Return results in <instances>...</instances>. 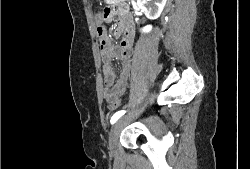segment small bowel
I'll list each match as a JSON object with an SVG mask.
<instances>
[{"label":"small bowel","instance_id":"1","mask_svg":"<svg viewBox=\"0 0 250 169\" xmlns=\"http://www.w3.org/2000/svg\"><path fill=\"white\" fill-rule=\"evenodd\" d=\"M117 14L119 18L122 19V27L124 29L123 38L120 42V45L114 46L110 44V41L103 33V31L100 38V55L102 61L103 79L105 84L103 90L104 98L107 95V91H120V95H123L128 84L132 66V33L129 25L124 22V14L121 11H117ZM99 29L100 27H98V30ZM114 59H119L121 61V71L118 77L116 76V72L113 66Z\"/></svg>","mask_w":250,"mask_h":169}]
</instances>
